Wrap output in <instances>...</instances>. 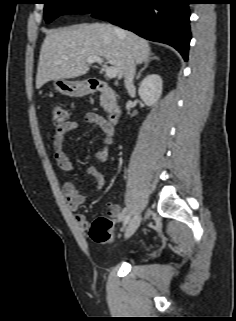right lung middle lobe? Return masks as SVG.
Wrapping results in <instances>:
<instances>
[{
    "label": "right lung middle lobe",
    "instance_id": "dd1d6c3e",
    "mask_svg": "<svg viewBox=\"0 0 236 321\" xmlns=\"http://www.w3.org/2000/svg\"><path fill=\"white\" fill-rule=\"evenodd\" d=\"M111 0H45L44 16L47 23L62 14L93 13Z\"/></svg>",
    "mask_w": 236,
    "mask_h": 321
}]
</instances>
